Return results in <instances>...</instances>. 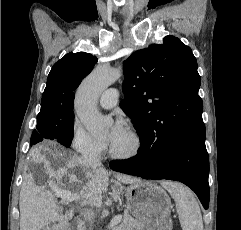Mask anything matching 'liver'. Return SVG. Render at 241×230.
<instances>
[{"label":"liver","mask_w":241,"mask_h":230,"mask_svg":"<svg viewBox=\"0 0 241 230\" xmlns=\"http://www.w3.org/2000/svg\"><path fill=\"white\" fill-rule=\"evenodd\" d=\"M30 162L49 179L54 178L66 189V195H77L85 202L96 204L101 201L102 192L107 189L109 177L104 168L91 167L85 170L82 158L71 152L61 151L56 147L34 148L29 153ZM77 167L82 168L83 175L75 173ZM35 173V172H34ZM34 173L25 175L20 190V230H42L53 223L49 230H64L65 222L59 214L55 195L45 186L35 183ZM63 177L68 179V186L62 183ZM118 185L140 181L127 175H116ZM72 185L79 187L78 194L71 193ZM122 189L112 187L111 196L117 201ZM58 222V224H56Z\"/></svg>","instance_id":"obj_1"}]
</instances>
